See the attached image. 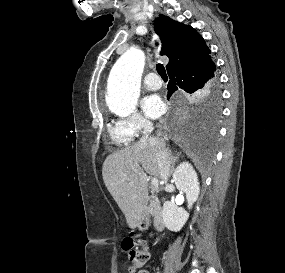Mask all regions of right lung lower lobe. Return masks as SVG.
<instances>
[{"label":"right lung lower lobe","instance_id":"98d812e1","mask_svg":"<svg viewBox=\"0 0 285 273\" xmlns=\"http://www.w3.org/2000/svg\"><path fill=\"white\" fill-rule=\"evenodd\" d=\"M209 54L210 52L168 72L170 78L168 98L178 88L183 89L187 93L201 91L216 79L215 63ZM203 123L202 117L196 120L198 126H202Z\"/></svg>","mask_w":285,"mask_h":273}]
</instances>
